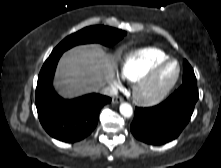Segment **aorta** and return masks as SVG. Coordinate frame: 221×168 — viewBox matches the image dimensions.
Masks as SVG:
<instances>
[{
	"instance_id": "762f6f07",
	"label": "aorta",
	"mask_w": 221,
	"mask_h": 168,
	"mask_svg": "<svg viewBox=\"0 0 221 168\" xmlns=\"http://www.w3.org/2000/svg\"><path fill=\"white\" fill-rule=\"evenodd\" d=\"M119 110H120L121 115H123L126 118L131 117L133 114L132 106L128 103H122L120 105Z\"/></svg>"
}]
</instances>
